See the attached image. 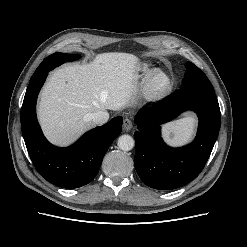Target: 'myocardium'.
Here are the masks:
<instances>
[{"label": "myocardium", "instance_id": "obj_1", "mask_svg": "<svg viewBox=\"0 0 247 247\" xmlns=\"http://www.w3.org/2000/svg\"><path fill=\"white\" fill-rule=\"evenodd\" d=\"M157 77H163L167 81V85L163 90H155L153 87V81ZM173 88V81L171 77L162 70H154L151 73H149L143 82L142 85V91L144 96L149 100H160L164 97H166Z\"/></svg>", "mask_w": 247, "mask_h": 247}]
</instances>
